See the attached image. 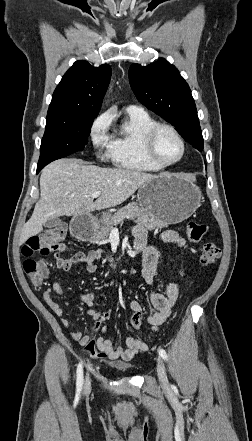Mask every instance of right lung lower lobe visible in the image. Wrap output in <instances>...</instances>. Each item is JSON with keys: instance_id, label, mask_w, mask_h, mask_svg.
Wrapping results in <instances>:
<instances>
[{"instance_id": "1", "label": "right lung lower lobe", "mask_w": 252, "mask_h": 441, "mask_svg": "<svg viewBox=\"0 0 252 441\" xmlns=\"http://www.w3.org/2000/svg\"><path fill=\"white\" fill-rule=\"evenodd\" d=\"M44 166H37V173L43 168Z\"/></svg>"}]
</instances>
